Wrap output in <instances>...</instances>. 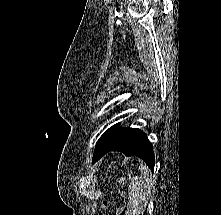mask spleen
Instances as JSON below:
<instances>
[{
	"instance_id": "1",
	"label": "spleen",
	"mask_w": 221,
	"mask_h": 215,
	"mask_svg": "<svg viewBox=\"0 0 221 215\" xmlns=\"http://www.w3.org/2000/svg\"><path fill=\"white\" fill-rule=\"evenodd\" d=\"M153 188V179L148 166H139V176L131 180L128 191V208L132 215H143Z\"/></svg>"
}]
</instances>
